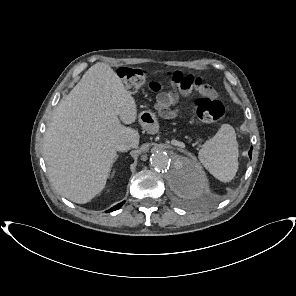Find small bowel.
Instances as JSON below:
<instances>
[{"label":"small bowel","instance_id":"1","mask_svg":"<svg viewBox=\"0 0 296 296\" xmlns=\"http://www.w3.org/2000/svg\"><path fill=\"white\" fill-rule=\"evenodd\" d=\"M151 88L158 90L159 86L157 83H151ZM208 93L212 94V90L209 89ZM177 101L176 96L173 93H162L157 99V109L159 113L166 118L172 117L175 115V111L170 109Z\"/></svg>","mask_w":296,"mask_h":296}]
</instances>
